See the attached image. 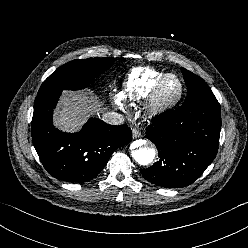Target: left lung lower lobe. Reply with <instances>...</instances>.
I'll return each mask as SVG.
<instances>
[{"label": "left lung lower lobe", "mask_w": 248, "mask_h": 248, "mask_svg": "<svg viewBox=\"0 0 248 248\" xmlns=\"http://www.w3.org/2000/svg\"><path fill=\"white\" fill-rule=\"evenodd\" d=\"M220 130L221 112L215 97L155 117L145 137L155 143L159 160L140 169L142 175L167 188L192 184L214 160Z\"/></svg>", "instance_id": "obj_1"}]
</instances>
